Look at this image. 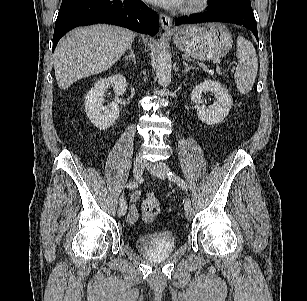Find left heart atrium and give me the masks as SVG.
Segmentation results:
<instances>
[{
  "instance_id": "1",
  "label": "left heart atrium",
  "mask_w": 307,
  "mask_h": 301,
  "mask_svg": "<svg viewBox=\"0 0 307 301\" xmlns=\"http://www.w3.org/2000/svg\"><path fill=\"white\" fill-rule=\"evenodd\" d=\"M152 4L163 7H176L180 6L184 0H146Z\"/></svg>"
}]
</instances>
